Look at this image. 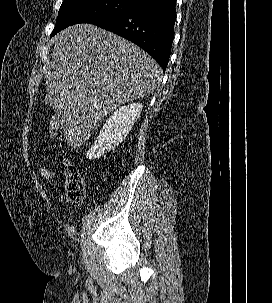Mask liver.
I'll return each mask as SVG.
<instances>
[{"mask_svg":"<svg viewBox=\"0 0 272 303\" xmlns=\"http://www.w3.org/2000/svg\"><path fill=\"white\" fill-rule=\"evenodd\" d=\"M52 71L45 75V103L71 147L82 145L120 105L151 94L163 71L130 41L92 24L54 37Z\"/></svg>","mask_w":272,"mask_h":303,"instance_id":"obj_1","label":"liver"}]
</instances>
